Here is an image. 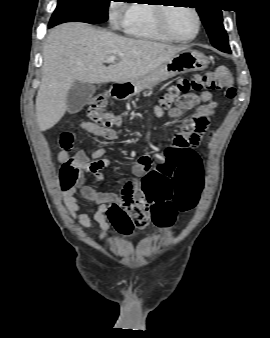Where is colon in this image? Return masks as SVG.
Segmentation results:
<instances>
[{"instance_id":"5ec220e1","label":"colon","mask_w":270,"mask_h":338,"mask_svg":"<svg viewBox=\"0 0 270 338\" xmlns=\"http://www.w3.org/2000/svg\"><path fill=\"white\" fill-rule=\"evenodd\" d=\"M202 90L209 91H224L225 97L232 99L235 96L234 80L229 70L225 66H216L209 73L204 75H194L191 78L181 79L177 86H175L171 92L172 96L178 93H190L199 92ZM109 98L105 93H98L94 95L88 105L87 114L93 123L103 127H110L117 123V118L112 113H105L103 110L107 107ZM189 102H193L189 99ZM169 108L168 102H161L158 106V111H165ZM190 125V124H189ZM207 118L202 114H199L195 120L194 125L189 127L191 132V143L193 146H198L201 140L206 134ZM186 143V139L182 134L175 136L172 142V146L179 147ZM136 164H140L137 160ZM150 167V166H148ZM146 167L144 170H148ZM80 175V169L75 162H66L60 171L61 187L63 189L73 185ZM193 179H190L186 186L176 185L175 192L172 200L173 205L167 203H147L146 201H138L135 206L138 212L147 215V221L150 220L158 225L168 224L171 222L173 214L177 211L184 212L192 209L198 202L202 182L199 172L193 175ZM137 186L143 189L148 188L147 175L143 178L140 184ZM122 208L113 209V214L110 218L111 224L116 227H123L129 229L133 223L131 215H135L136 212L130 209V203L127 201L122 202Z\"/></svg>"}]
</instances>
